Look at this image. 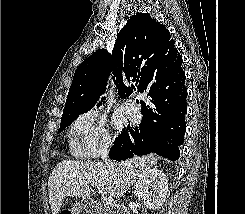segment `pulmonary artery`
Instances as JSON below:
<instances>
[{
	"mask_svg": "<svg viewBox=\"0 0 245 214\" xmlns=\"http://www.w3.org/2000/svg\"><path fill=\"white\" fill-rule=\"evenodd\" d=\"M125 107L131 116H136L138 114V108L133 101H128L125 104Z\"/></svg>",
	"mask_w": 245,
	"mask_h": 214,
	"instance_id": "1",
	"label": "pulmonary artery"
}]
</instances>
